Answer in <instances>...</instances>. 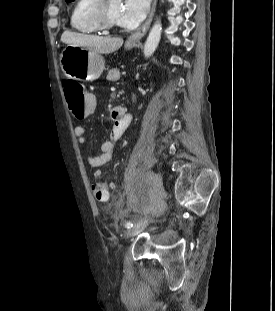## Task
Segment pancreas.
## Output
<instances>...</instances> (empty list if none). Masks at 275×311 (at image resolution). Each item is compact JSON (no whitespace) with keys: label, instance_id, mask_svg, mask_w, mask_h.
I'll list each match as a JSON object with an SVG mask.
<instances>
[{"label":"pancreas","instance_id":"cf45deb5","mask_svg":"<svg viewBox=\"0 0 275 311\" xmlns=\"http://www.w3.org/2000/svg\"><path fill=\"white\" fill-rule=\"evenodd\" d=\"M120 78V71L119 69H111L108 72V75L106 77L107 80L109 81H117Z\"/></svg>","mask_w":275,"mask_h":311}]
</instances>
